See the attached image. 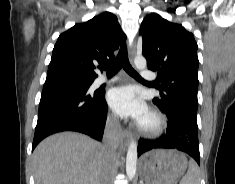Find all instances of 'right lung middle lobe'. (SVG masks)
<instances>
[{"instance_id": "obj_1", "label": "right lung middle lobe", "mask_w": 235, "mask_h": 184, "mask_svg": "<svg viewBox=\"0 0 235 184\" xmlns=\"http://www.w3.org/2000/svg\"><path fill=\"white\" fill-rule=\"evenodd\" d=\"M68 82L74 83V82H79L86 87H90V85L93 83L94 80H89V79H80V78H65Z\"/></svg>"}]
</instances>
